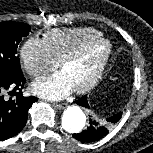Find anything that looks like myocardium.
Masks as SVG:
<instances>
[{"mask_svg":"<svg viewBox=\"0 0 153 153\" xmlns=\"http://www.w3.org/2000/svg\"><path fill=\"white\" fill-rule=\"evenodd\" d=\"M101 45L103 46V53L102 56L94 69L92 75L90 78L83 83L82 85L74 88V91L76 93H84L90 90L92 87L96 85V83L101 78L102 74L104 73L107 64L110 60V57L112 55L113 51V45L112 42L102 36H98L96 38H93L87 42H85L82 46H80L78 49H76L74 52L66 56L59 64L61 70L64 69L67 65L74 63L81 58H83L93 47Z\"/></svg>","mask_w":153,"mask_h":153,"instance_id":"obj_1","label":"myocardium"}]
</instances>
